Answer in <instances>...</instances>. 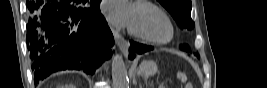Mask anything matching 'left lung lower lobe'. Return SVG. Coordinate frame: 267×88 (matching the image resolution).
I'll return each mask as SVG.
<instances>
[{
  "label": "left lung lower lobe",
  "instance_id": "left-lung-lower-lobe-1",
  "mask_svg": "<svg viewBox=\"0 0 267 88\" xmlns=\"http://www.w3.org/2000/svg\"><path fill=\"white\" fill-rule=\"evenodd\" d=\"M180 48L181 50L190 51L187 45H181ZM150 50H153L152 46L143 45V44L131 41L130 48H129V53H130L129 58L133 59L135 57V53L142 54Z\"/></svg>",
  "mask_w": 267,
  "mask_h": 88
}]
</instances>
